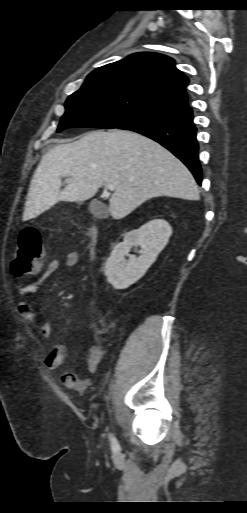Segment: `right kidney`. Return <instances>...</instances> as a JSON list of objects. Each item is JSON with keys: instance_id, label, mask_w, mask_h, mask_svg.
Instances as JSON below:
<instances>
[{"instance_id": "1", "label": "right kidney", "mask_w": 247, "mask_h": 513, "mask_svg": "<svg viewBox=\"0 0 247 513\" xmlns=\"http://www.w3.org/2000/svg\"><path fill=\"white\" fill-rule=\"evenodd\" d=\"M171 234V226L162 219L149 221L139 229L128 232L106 261L108 282L115 289H125L138 281L167 245ZM133 246L141 247L139 257L129 255ZM125 256H128V260Z\"/></svg>"}]
</instances>
